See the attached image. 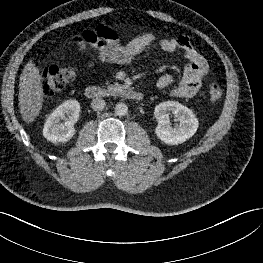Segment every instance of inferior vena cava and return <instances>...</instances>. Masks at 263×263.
<instances>
[{
	"instance_id": "1",
	"label": "inferior vena cava",
	"mask_w": 263,
	"mask_h": 263,
	"mask_svg": "<svg viewBox=\"0 0 263 263\" xmlns=\"http://www.w3.org/2000/svg\"><path fill=\"white\" fill-rule=\"evenodd\" d=\"M106 102L102 98H95L91 102V107L95 111H101L105 108Z\"/></svg>"
}]
</instances>
